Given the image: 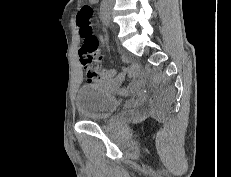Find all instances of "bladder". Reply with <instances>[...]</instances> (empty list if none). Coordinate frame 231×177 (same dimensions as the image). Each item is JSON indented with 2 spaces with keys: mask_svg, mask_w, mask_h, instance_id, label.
Wrapping results in <instances>:
<instances>
[{
  "mask_svg": "<svg viewBox=\"0 0 231 177\" xmlns=\"http://www.w3.org/2000/svg\"><path fill=\"white\" fill-rule=\"evenodd\" d=\"M117 106V98L99 86H84L76 95V107L84 119H103L114 112Z\"/></svg>",
  "mask_w": 231,
  "mask_h": 177,
  "instance_id": "obj_1",
  "label": "bladder"
}]
</instances>
